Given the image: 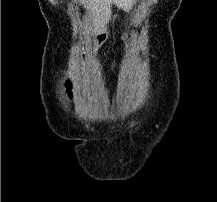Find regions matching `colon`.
Masks as SVG:
<instances>
[{
  "instance_id": "1",
  "label": "colon",
  "mask_w": 217,
  "mask_h": 202,
  "mask_svg": "<svg viewBox=\"0 0 217 202\" xmlns=\"http://www.w3.org/2000/svg\"><path fill=\"white\" fill-rule=\"evenodd\" d=\"M77 73H72V71H69V75L67 76V79L70 78H77ZM109 96H117L118 92L117 91H109L108 92ZM66 96H73V91H66ZM68 102H76L77 98L76 97H68L67 98Z\"/></svg>"
}]
</instances>
